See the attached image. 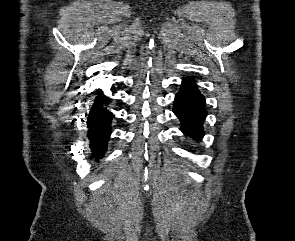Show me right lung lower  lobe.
Instances as JSON below:
<instances>
[{"instance_id":"right-lung-lower-lobe-1","label":"right lung lower lobe","mask_w":295,"mask_h":241,"mask_svg":"<svg viewBox=\"0 0 295 241\" xmlns=\"http://www.w3.org/2000/svg\"><path fill=\"white\" fill-rule=\"evenodd\" d=\"M107 102H109V99L103 95L102 90H98L97 97L87 119L89 147L92 150V157L97 156L96 160L101 158V155L107 151L110 125L114 117L111 112L102 106L104 103L107 104Z\"/></svg>"}]
</instances>
